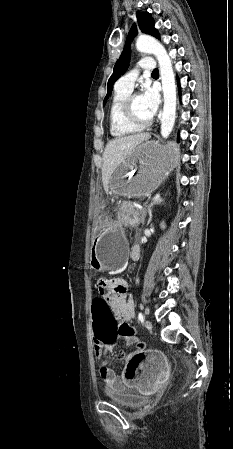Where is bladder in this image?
I'll return each mask as SVG.
<instances>
[{
	"mask_svg": "<svg viewBox=\"0 0 233 449\" xmlns=\"http://www.w3.org/2000/svg\"><path fill=\"white\" fill-rule=\"evenodd\" d=\"M105 393L112 403L126 409L142 406L148 401L146 397L139 395L134 389L125 387L108 388Z\"/></svg>",
	"mask_w": 233,
	"mask_h": 449,
	"instance_id": "31cf9c89",
	"label": "bladder"
}]
</instances>
